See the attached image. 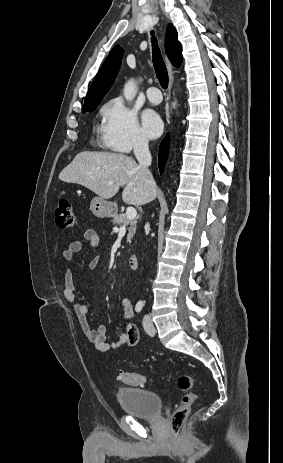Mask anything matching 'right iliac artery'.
Listing matches in <instances>:
<instances>
[{"label": "right iliac artery", "instance_id": "82829eb1", "mask_svg": "<svg viewBox=\"0 0 283 463\" xmlns=\"http://www.w3.org/2000/svg\"><path fill=\"white\" fill-rule=\"evenodd\" d=\"M143 305H144V304H143V301L137 302V304H136V306H135L136 312H140V311L142 310V308H143Z\"/></svg>", "mask_w": 283, "mask_h": 463}]
</instances>
